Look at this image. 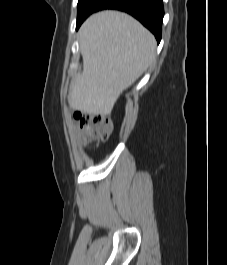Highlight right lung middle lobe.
<instances>
[{"instance_id": "right-lung-middle-lobe-1", "label": "right lung middle lobe", "mask_w": 227, "mask_h": 265, "mask_svg": "<svg viewBox=\"0 0 227 265\" xmlns=\"http://www.w3.org/2000/svg\"><path fill=\"white\" fill-rule=\"evenodd\" d=\"M101 0H79L77 5V24L94 12Z\"/></svg>"}]
</instances>
